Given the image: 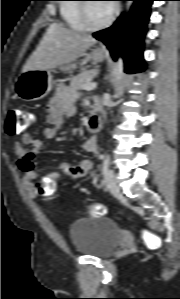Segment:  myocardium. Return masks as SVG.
Segmentation results:
<instances>
[{
  "label": "myocardium",
  "mask_w": 180,
  "mask_h": 299,
  "mask_svg": "<svg viewBox=\"0 0 180 299\" xmlns=\"http://www.w3.org/2000/svg\"><path fill=\"white\" fill-rule=\"evenodd\" d=\"M87 1V0H83ZM80 19L81 22L87 31H99L106 27H108L114 20V12L111 11L109 17L104 22L94 25L90 22L89 16H88V3L83 2L80 4Z\"/></svg>",
  "instance_id": "myocardium-1"
}]
</instances>
